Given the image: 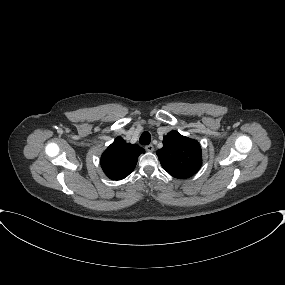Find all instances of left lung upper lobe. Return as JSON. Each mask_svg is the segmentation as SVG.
Returning <instances> with one entry per match:
<instances>
[{"label":"left lung upper lobe","mask_w":285,"mask_h":285,"mask_svg":"<svg viewBox=\"0 0 285 285\" xmlns=\"http://www.w3.org/2000/svg\"><path fill=\"white\" fill-rule=\"evenodd\" d=\"M156 154L164 170L175 178H189L202 165L199 143L182 136L177 131H171L163 137V148Z\"/></svg>","instance_id":"1"}]
</instances>
